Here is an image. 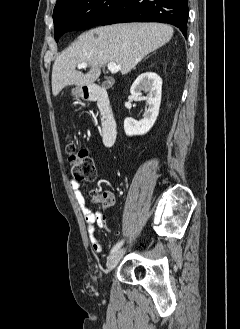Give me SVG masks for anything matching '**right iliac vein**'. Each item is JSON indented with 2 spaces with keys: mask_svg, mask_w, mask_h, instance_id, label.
<instances>
[{
  "mask_svg": "<svg viewBox=\"0 0 240 329\" xmlns=\"http://www.w3.org/2000/svg\"><path fill=\"white\" fill-rule=\"evenodd\" d=\"M125 249H120L113 253L107 260V269L112 270L120 261L122 256L124 255Z\"/></svg>",
  "mask_w": 240,
  "mask_h": 329,
  "instance_id": "63e3f726",
  "label": "right iliac vein"
}]
</instances>
